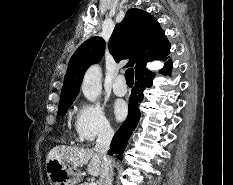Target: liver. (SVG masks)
I'll return each mask as SVG.
<instances>
[{
    "instance_id": "6515ba94",
    "label": "liver",
    "mask_w": 233,
    "mask_h": 185,
    "mask_svg": "<svg viewBox=\"0 0 233 185\" xmlns=\"http://www.w3.org/2000/svg\"><path fill=\"white\" fill-rule=\"evenodd\" d=\"M50 159L64 161L71 164L74 168L87 165V172L95 177L100 175L104 166L102 155L94 149L78 148L75 146H55L48 153L46 162Z\"/></svg>"
}]
</instances>
